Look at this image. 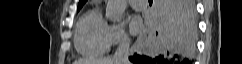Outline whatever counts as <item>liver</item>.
Instances as JSON below:
<instances>
[{
    "label": "liver",
    "mask_w": 242,
    "mask_h": 64,
    "mask_svg": "<svg viewBox=\"0 0 242 64\" xmlns=\"http://www.w3.org/2000/svg\"><path fill=\"white\" fill-rule=\"evenodd\" d=\"M182 29L184 30L183 27ZM194 31H195V27L193 29V33ZM73 64H115V61L112 58L79 59V60H76Z\"/></svg>",
    "instance_id": "obj_1"
}]
</instances>
